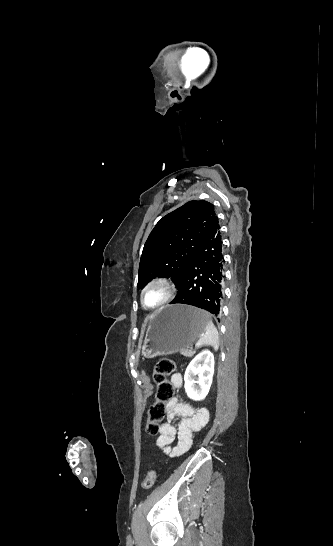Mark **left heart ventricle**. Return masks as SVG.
<instances>
[{
	"label": "left heart ventricle",
	"instance_id": "1",
	"mask_svg": "<svg viewBox=\"0 0 333 546\" xmlns=\"http://www.w3.org/2000/svg\"><path fill=\"white\" fill-rule=\"evenodd\" d=\"M165 296L166 290L160 285H154L147 290L145 300L147 305L155 306L162 302Z\"/></svg>",
	"mask_w": 333,
	"mask_h": 546
}]
</instances>
